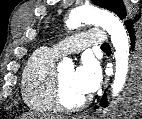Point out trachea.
<instances>
[{
    "mask_svg": "<svg viewBox=\"0 0 142 119\" xmlns=\"http://www.w3.org/2000/svg\"><path fill=\"white\" fill-rule=\"evenodd\" d=\"M102 49L110 48V45L108 43H105L101 46Z\"/></svg>",
    "mask_w": 142,
    "mask_h": 119,
    "instance_id": "obj_1",
    "label": "trachea"
}]
</instances>
